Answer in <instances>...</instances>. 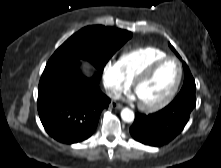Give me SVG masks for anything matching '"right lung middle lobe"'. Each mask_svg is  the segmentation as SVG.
Instances as JSON below:
<instances>
[{
	"label": "right lung middle lobe",
	"instance_id": "dd1d6c3e",
	"mask_svg": "<svg viewBox=\"0 0 221 168\" xmlns=\"http://www.w3.org/2000/svg\"><path fill=\"white\" fill-rule=\"evenodd\" d=\"M131 36L132 33L126 30L102 25L87 26L67 39L48 62L83 59L91 62L98 71L102 72L112 55Z\"/></svg>",
	"mask_w": 221,
	"mask_h": 168
}]
</instances>
